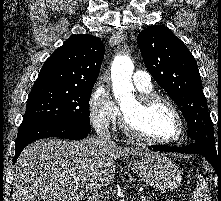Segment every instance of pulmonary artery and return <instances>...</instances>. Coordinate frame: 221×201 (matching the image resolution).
Returning a JSON list of instances; mask_svg holds the SVG:
<instances>
[{"instance_id": "pulmonary-artery-1", "label": "pulmonary artery", "mask_w": 221, "mask_h": 201, "mask_svg": "<svg viewBox=\"0 0 221 201\" xmlns=\"http://www.w3.org/2000/svg\"><path fill=\"white\" fill-rule=\"evenodd\" d=\"M133 82L139 90L150 89L152 87L151 77L145 71H140V70L136 71L133 74Z\"/></svg>"}]
</instances>
